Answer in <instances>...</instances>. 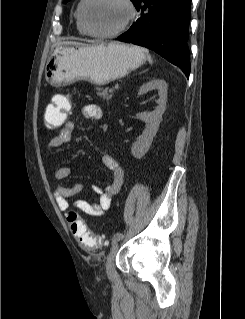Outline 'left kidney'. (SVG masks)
<instances>
[{"instance_id":"obj_1","label":"left kidney","mask_w":245,"mask_h":319,"mask_svg":"<svg viewBox=\"0 0 245 319\" xmlns=\"http://www.w3.org/2000/svg\"><path fill=\"white\" fill-rule=\"evenodd\" d=\"M167 83L162 79H152L151 81L143 84L138 94L143 95L151 90H158L159 99L158 106L152 112L138 113L136 116L146 124V128L142 135L137 138V141L131 148V153L136 158H141L149 150L153 137L156 135L162 115L166 109L167 101Z\"/></svg>"}]
</instances>
